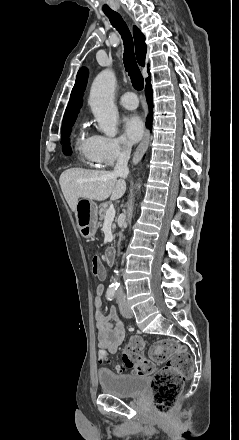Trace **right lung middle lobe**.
I'll return each mask as SVG.
<instances>
[{"mask_svg": "<svg viewBox=\"0 0 239 440\" xmlns=\"http://www.w3.org/2000/svg\"><path fill=\"white\" fill-rule=\"evenodd\" d=\"M74 122H75V121H73V122H71V123H68V124H66L65 126H62V137H61V143L64 144V148H63L64 151H67V150L70 149L69 146H68V144L66 143V141H68V137H69V135H70V133H71L72 126H73Z\"/></svg>", "mask_w": 239, "mask_h": 440, "instance_id": "1", "label": "right lung middle lobe"}]
</instances>
